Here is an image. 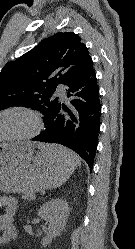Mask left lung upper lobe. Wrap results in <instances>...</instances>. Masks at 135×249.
<instances>
[{
  "mask_svg": "<svg viewBox=\"0 0 135 249\" xmlns=\"http://www.w3.org/2000/svg\"><path fill=\"white\" fill-rule=\"evenodd\" d=\"M92 64L88 49L77 34L58 32L3 67L0 110L21 105L40 111L46 118L58 103L53 96L57 85L77 80Z\"/></svg>",
  "mask_w": 135,
  "mask_h": 249,
  "instance_id": "left-lung-upper-lobe-1",
  "label": "left lung upper lobe"
}]
</instances>
